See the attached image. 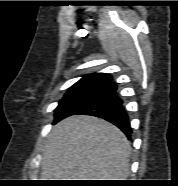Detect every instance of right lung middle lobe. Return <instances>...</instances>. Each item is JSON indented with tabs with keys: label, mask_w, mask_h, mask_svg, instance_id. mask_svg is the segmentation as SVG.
<instances>
[{
	"label": "right lung middle lobe",
	"mask_w": 178,
	"mask_h": 186,
	"mask_svg": "<svg viewBox=\"0 0 178 186\" xmlns=\"http://www.w3.org/2000/svg\"><path fill=\"white\" fill-rule=\"evenodd\" d=\"M108 85H86L70 88L55 109V122L71 115L78 109L107 92Z\"/></svg>",
	"instance_id": "right-lung-middle-lobe-1"
}]
</instances>
